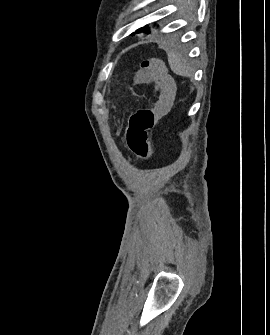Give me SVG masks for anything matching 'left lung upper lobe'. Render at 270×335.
Instances as JSON below:
<instances>
[{"mask_svg": "<svg viewBox=\"0 0 270 335\" xmlns=\"http://www.w3.org/2000/svg\"><path fill=\"white\" fill-rule=\"evenodd\" d=\"M140 32H143L144 34H150L151 33V30L148 28V26H144L140 29H138L136 32L132 33L131 35H134V34H137V33H140Z\"/></svg>", "mask_w": 270, "mask_h": 335, "instance_id": "1", "label": "left lung upper lobe"}]
</instances>
